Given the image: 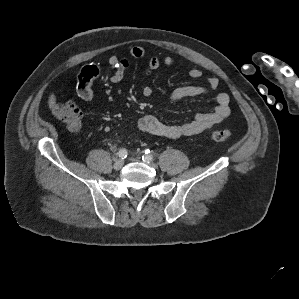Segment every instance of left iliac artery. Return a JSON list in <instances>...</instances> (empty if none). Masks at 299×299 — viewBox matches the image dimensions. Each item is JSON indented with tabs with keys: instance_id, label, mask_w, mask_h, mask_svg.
Wrapping results in <instances>:
<instances>
[{
	"instance_id": "obj_1",
	"label": "left iliac artery",
	"mask_w": 299,
	"mask_h": 299,
	"mask_svg": "<svg viewBox=\"0 0 299 299\" xmlns=\"http://www.w3.org/2000/svg\"><path fill=\"white\" fill-rule=\"evenodd\" d=\"M143 161L146 163H149L150 161H152L153 157L151 154H146L142 157Z\"/></svg>"
}]
</instances>
